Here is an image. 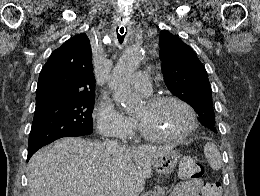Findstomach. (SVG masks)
<instances>
[{"mask_svg":"<svg viewBox=\"0 0 260 196\" xmlns=\"http://www.w3.org/2000/svg\"><path fill=\"white\" fill-rule=\"evenodd\" d=\"M180 158L179 152L176 150H169L166 154H163L161 158H157L153 164V168L157 174H171L175 170L178 160Z\"/></svg>","mask_w":260,"mask_h":196,"instance_id":"0dacf381","label":"stomach"}]
</instances>
